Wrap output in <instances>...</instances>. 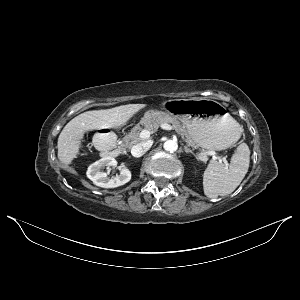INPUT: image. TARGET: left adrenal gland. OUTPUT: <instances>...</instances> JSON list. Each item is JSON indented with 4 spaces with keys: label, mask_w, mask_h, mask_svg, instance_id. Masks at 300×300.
Returning <instances> with one entry per match:
<instances>
[{
    "label": "left adrenal gland",
    "mask_w": 300,
    "mask_h": 300,
    "mask_svg": "<svg viewBox=\"0 0 300 300\" xmlns=\"http://www.w3.org/2000/svg\"><path fill=\"white\" fill-rule=\"evenodd\" d=\"M184 150L186 153H191L197 160H199V157L188 146L185 145Z\"/></svg>",
    "instance_id": "a2214340"
}]
</instances>
